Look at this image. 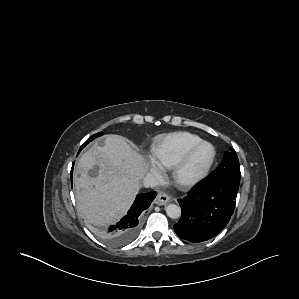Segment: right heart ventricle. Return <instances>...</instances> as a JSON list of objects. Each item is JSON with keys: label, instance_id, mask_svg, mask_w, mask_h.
<instances>
[{"label": "right heart ventricle", "instance_id": "1", "mask_svg": "<svg viewBox=\"0 0 299 299\" xmlns=\"http://www.w3.org/2000/svg\"><path fill=\"white\" fill-rule=\"evenodd\" d=\"M202 139L188 132H175L159 137L154 145L156 162L164 168H174L186 153Z\"/></svg>", "mask_w": 299, "mask_h": 299}]
</instances>
